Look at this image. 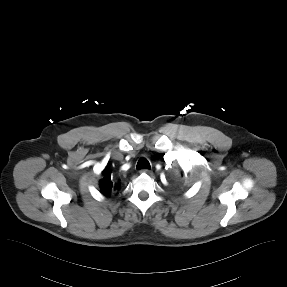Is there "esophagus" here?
I'll use <instances>...</instances> for the list:
<instances>
[{
    "instance_id": "obj_1",
    "label": "esophagus",
    "mask_w": 287,
    "mask_h": 287,
    "mask_svg": "<svg viewBox=\"0 0 287 287\" xmlns=\"http://www.w3.org/2000/svg\"><path fill=\"white\" fill-rule=\"evenodd\" d=\"M141 172H144V173L149 174V175L152 174V171L149 169H143V170H141Z\"/></svg>"
}]
</instances>
